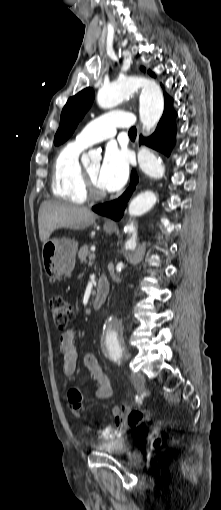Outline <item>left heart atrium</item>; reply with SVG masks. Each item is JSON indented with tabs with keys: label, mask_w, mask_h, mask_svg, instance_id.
<instances>
[{
	"label": "left heart atrium",
	"mask_w": 221,
	"mask_h": 510,
	"mask_svg": "<svg viewBox=\"0 0 221 510\" xmlns=\"http://www.w3.org/2000/svg\"><path fill=\"white\" fill-rule=\"evenodd\" d=\"M128 174L127 152L114 144L108 145L98 175L100 187L108 192L117 191L125 184Z\"/></svg>",
	"instance_id": "obj_1"
}]
</instances>
